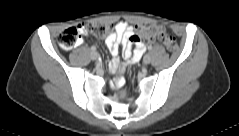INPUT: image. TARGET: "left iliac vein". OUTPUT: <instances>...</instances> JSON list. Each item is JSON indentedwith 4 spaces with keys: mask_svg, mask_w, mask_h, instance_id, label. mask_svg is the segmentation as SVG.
<instances>
[{
    "mask_svg": "<svg viewBox=\"0 0 239 136\" xmlns=\"http://www.w3.org/2000/svg\"><path fill=\"white\" fill-rule=\"evenodd\" d=\"M151 61V58L149 55H145L144 58H143V63L144 64H149Z\"/></svg>",
    "mask_w": 239,
    "mask_h": 136,
    "instance_id": "4c4485c4",
    "label": "left iliac vein"
}]
</instances>
